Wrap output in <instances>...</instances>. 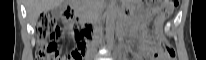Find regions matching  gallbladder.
<instances>
[{
  "label": "gallbladder",
  "mask_w": 206,
  "mask_h": 60,
  "mask_svg": "<svg viewBox=\"0 0 206 60\" xmlns=\"http://www.w3.org/2000/svg\"><path fill=\"white\" fill-rule=\"evenodd\" d=\"M54 17L59 18L61 16V7H57L52 10Z\"/></svg>",
  "instance_id": "1"
}]
</instances>
